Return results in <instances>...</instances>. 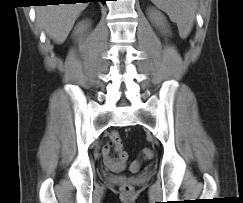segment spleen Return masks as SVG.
<instances>
[{
	"label": "spleen",
	"instance_id": "spleen-1",
	"mask_svg": "<svg viewBox=\"0 0 243 203\" xmlns=\"http://www.w3.org/2000/svg\"><path fill=\"white\" fill-rule=\"evenodd\" d=\"M177 24L179 35L186 38L191 32L197 10V0H151Z\"/></svg>",
	"mask_w": 243,
	"mask_h": 203
}]
</instances>
